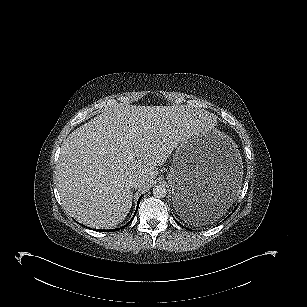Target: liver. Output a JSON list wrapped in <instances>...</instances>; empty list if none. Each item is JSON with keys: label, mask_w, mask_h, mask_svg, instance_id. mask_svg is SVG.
<instances>
[{"label": "liver", "mask_w": 307, "mask_h": 307, "mask_svg": "<svg viewBox=\"0 0 307 307\" xmlns=\"http://www.w3.org/2000/svg\"><path fill=\"white\" fill-rule=\"evenodd\" d=\"M215 119L174 106L119 105L74 130L61 146L56 181L62 204L80 223L109 229L132 206L129 182L148 190L178 143ZM133 156V160L128 159Z\"/></svg>", "instance_id": "obj_1"}]
</instances>
